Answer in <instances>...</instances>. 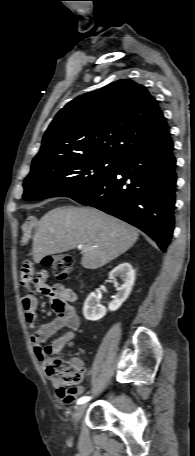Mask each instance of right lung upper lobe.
Here are the masks:
<instances>
[{
  "label": "right lung upper lobe",
  "mask_w": 195,
  "mask_h": 456,
  "mask_svg": "<svg viewBox=\"0 0 195 456\" xmlns=\"http://www.w3.org/2000/svg\"><path fill=\"white\" fill-rule=\"evenodd\" d=\"M170 140L155 98L144 86L121 79L78 96L62 108L45 132L32 166L65 157L119 160Z\"/></svg>",
  "instance_id": "obj_1"
}]
</instances>
